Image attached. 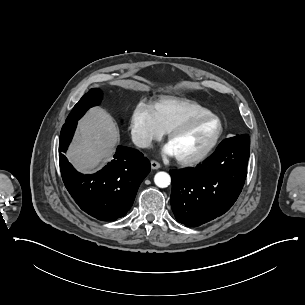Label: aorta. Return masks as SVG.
Returning <instances> with one entry per match:
<instances>
[{
  "label": "aorta",
  "mask_w": 305,
  "mask_h": 305,
  "mask_svg": "<svg viewBox=\"0 0 305 305\" xmlns=\"http://www.w3.org/2000/svg\"><path fill=\"white\" fill-rule=\"evenodd\" d=\"M155 184L160 188H166L171 183V177L166 172H158L154 176Z\"/></svg>",
  "instance_id": "1"
}]
</instances>
